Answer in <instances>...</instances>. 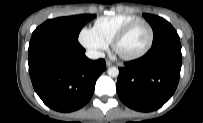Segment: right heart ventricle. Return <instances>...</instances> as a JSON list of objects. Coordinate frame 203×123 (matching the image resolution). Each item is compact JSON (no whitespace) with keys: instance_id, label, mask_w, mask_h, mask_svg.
Instances as JSON below:
<instances>
[{"instance_id":"1","label":"right heart ventricle","mask_w":203,"mask_h":123,"mask_svg":"<svg viewBox=\"0 0 203 123\" xmlns=\"http://www.w3.org/2000/svg\"><path fill=\"white\" fill-rule=\"evenodd\" d=\"M138 19L129 14L103 16L94 22L93 29L102 40L109 44L123 27Z\"/></svg>"}]
</instances>
